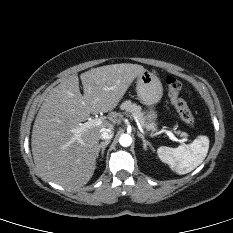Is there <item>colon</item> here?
<instances>
[{
    "label": "colon",
    "instance_id": "1",
    "mask_svg": "<svg viewBox=\"0 0 233 233\" xmlns=\"http://www.w3.org/2000/svg\"><path fill=\"white\" fill-rule=\"evenodd\" d=\"M169 99L179 114L182 121L193 126L195 124V117L188 107L186 101L181 97L182 84L174 77H168L165 81Z\"/></svg>",
    "mask_w": 233,
    "mask_h": 233
}]
</instances>
